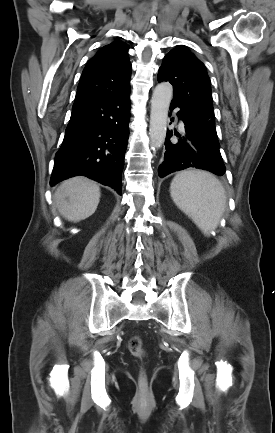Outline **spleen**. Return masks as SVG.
Returning <instances> with one entry per match:
<instances>
[{"label":"spleen","mask_w":275,"mask_h":433,"mask_svg":"<svg viewBox=\"0 0 275 433\" xmlns=\"http://www.w3.org/2000/svg\"><path fill=\"white\" fill-rule=\"evenodd\" d=\"M170 194L175 204L205 235L217 227L225 209L226 194L214 175L204 171H182L173 178Z\"/></svg>","instance_id":"1"}]
</instances>
